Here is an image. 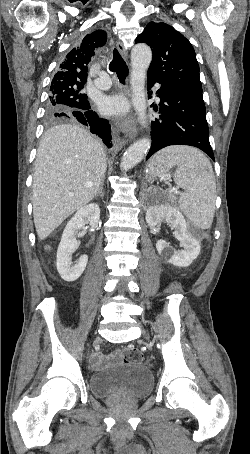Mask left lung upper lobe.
I'll return each mask as SVG.
<instances>
[{
	"instance_id": "obj_1",
	"label": "left lung upper lobe",
	"mask_w": 250,
	"mask_h": 454,
	"mask_svg": "<svg viewBox=\"0 0 250 454\" xmlns=\"http://www.w3.org/2000/svg\"><path fill=\"white\" fill-rule=\"evenodd\" d=\"M135 42L146 43L152 49L148 77L167 85L202 89L195 51L172 26L150 22Z\"/></svg>"
}]
</instances>
